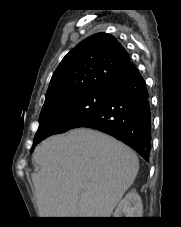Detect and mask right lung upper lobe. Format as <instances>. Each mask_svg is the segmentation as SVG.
Instances as JSON below:
<instances>
[{
  "instance_id": "obj_1",
  "label": "right lung upper lobe",
  "mask_w": 181,
  "mask_h": 227,
  "mask_svg": "<svg viewBox=\"0 0 181 227\" xmlns=\"http://www.w3.org/2000/svg\"><path fill=\"white\" fill-rule=\"evenodd\" d=\"M132 66L129 54L113 36L92 35L63 58L53 73L43 108L64 98L109 88Z\"/></svg>"
}]
</instances>
